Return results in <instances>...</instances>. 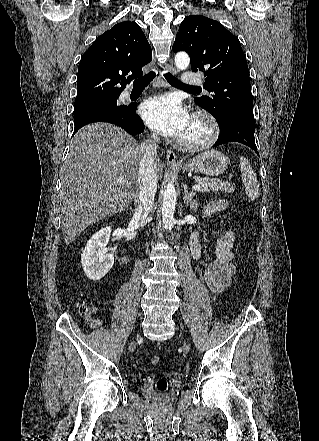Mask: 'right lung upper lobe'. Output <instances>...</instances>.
<instances>
[{"label": "right lung upper lobe", "instance_id": "cb5924a9", "mask_svg": "<svg viewBox=\"0 0 319 441\" xmlns=\"http://www.w3.org/2000/svg\"><path fill=\"white\" fill-rule=\"evenodd\" d=\"M151 60V47L135 22L115 25L81 57L75 101L119 96L127 83L143 75L142 67Z\"/></svg>", "mask_w": 319, "mask_h": 441}]
</instances>
